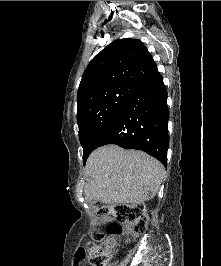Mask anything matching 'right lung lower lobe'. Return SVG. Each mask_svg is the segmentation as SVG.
<instances>
[{
    "label": "right lung lower lobe",
    "instance_id": "obj_1",
    "mask_svg": "<svg viewBox=\"0 0 221 266\" xmlns=\"http://www.w3.org/2000/svg\"><path fill=\"white\" fill-rule=\"evenodd\" d=\"M168 118L167 90L157 72L137 86L119 115L101 135L95 149L116 144L142 150L166 167Z\"/></svg>",
    "mask_w": 221,
    "mask_h": 266
}]
</instances>
